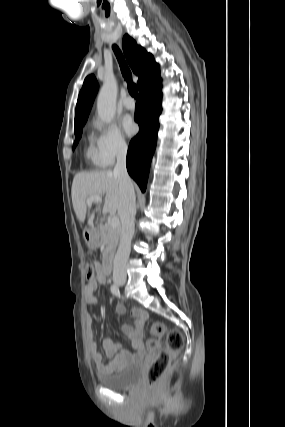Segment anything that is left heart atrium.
<instances>
[{"label": "left heart atrium", "instance_id": "39dd6f15", "mask_svg": "<svg viewBox=\"0 0 285 427\" xmlns=\"http://www.w3.org/2000/svg\"><path fill=\"white\" fill-rule=\"evenodd\" d=\"M123 129L128 136H132L135 134L137 127L130 117H126L123 120Z\"/></svg>", "mask_w": 285, "mask_h": 427}]
</instances>
